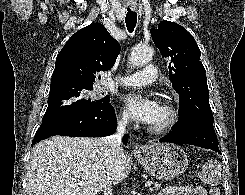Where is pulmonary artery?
Here are the masks:
<instances>
[{
	"label": "pulmonary artery",
	"mask_w": 245,
	"mask_h": 195,
	"mask_svg": "<svg viewBox=\"0 0 245 195\" xmlns=\"http://www.w3.org/2000/svg\"><path fill=\"white\" fill-rule=\"evenodd\" d=\"M157 79L156 68L148 65L144 72H135L118 77V82L124 86H145Z\"/></svg>",
	"instance_id": "pulmonary-artery-1"
}]
</instances>
